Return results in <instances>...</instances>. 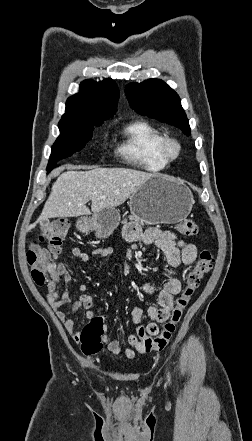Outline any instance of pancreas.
Masks as SVG:
<instances>
[{
  "label": "pancreas",
  "instance_id": "1",
  "mask_svg": "<svg viewBox=\"0 0 252 441\" xmlns=\"http://www.w3.org/2000/svg\"><path fill=\"white\" fill-rule=\"evenodd\" d=\"M129 219H131V220H136V221H140L141 223L144 222V221H142L140 218H138V217L135 216V215L129 216Z\"/></svg>",
  "mask_w": 252,
  "mask_h": 441
}]
</instances>
